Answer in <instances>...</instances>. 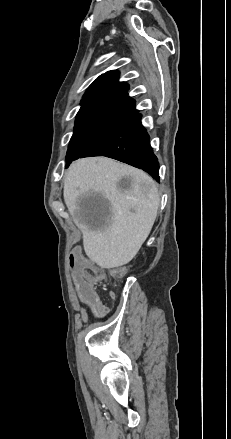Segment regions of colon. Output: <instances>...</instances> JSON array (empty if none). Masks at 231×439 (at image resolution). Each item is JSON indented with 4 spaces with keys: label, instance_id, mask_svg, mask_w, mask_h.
I'll list each match as a JSON object with an SVG mask.
<instances>
[{
    "label": "colon",
    "instance_id": "5ec220e1",
    "mask_svg": "<svg viewBox=\"0 0 231 439\" xmlns=\"http://www.w3.org/2000/svg\"><path fill=\"white\" fill-rule=\"evenodd\" d=\"M84 248L82 246H77L70 250V255L73 256L71 259V265H74V275L75 280L73 281V286L77 289V294L79 295L80 301L83 302L85 306H91L93 309L100 311L99 313H94V318H99L101 320L106 319L107 314L105 311V306L103 304V298L97 296L95 290V284L97 282L96 276L91 270V260L86 258ZM124 273V269H117L112 272V276L119 277Z\"/></svg>",
    "mask_w": 231,
    "mask_h": 439
}]
</instances>
